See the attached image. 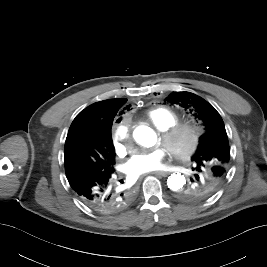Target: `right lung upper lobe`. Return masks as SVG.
Segmentation results:
<instances>
[{
  "label": "right lung upper lobe",
  "mask_w": 267,
  "mask_h": 267,
  "mask_svg": "<svg viewBox=\"0 0 267 267\" xmlns=\"http://www.w3.org/2000/svg\"><path fill=\"white\" fill-rule=\"evenodd\" d=\"M126 102L127 99L118 98L94 103L76 116L70 129L78 125L85 126L90 131H93L97 138L102 141L107 133L111 131L114 117Z\"/></svg>",
  "instance_id": "cb5924a9"
}]
</instances>
